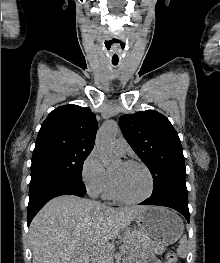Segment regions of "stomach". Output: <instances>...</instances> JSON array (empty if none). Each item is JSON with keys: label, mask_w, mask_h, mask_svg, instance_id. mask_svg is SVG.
Here are the masks:
<instances>
[{"label": "stomach", "mask_w": 220, "mask_h": 263, "mask_svg": "<svg viewBox=\"0 0 220 263\" xmlns=\"http://www.w3.org/2000/svg\"><path fill=\"white\" fill-rule=\"evenodd\" d=\"M134 221L140 232L139 244L150 249L175 243L184 230L181 218L163 207H148Z\"/></svg>", "instance_id": "0dacf381"}]
</instances>
